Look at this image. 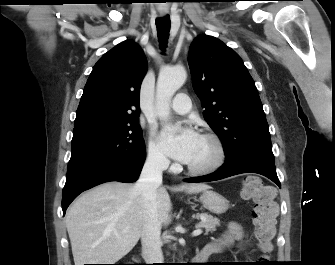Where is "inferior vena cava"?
<instances>
[{"label":"inferior vena cava","mask_w":335,"mask_h":265,"mask_svg":"<svg viewBox=\"0 0 335 265\" xmlns=\"http://www.w3.org/2000/svg\"><path fill=\"white\" fill-rule=\"evenodd\" d=\"M169 165L159 153L150 154L134 190L142 195L144 224L141 234L142 254L148 264L163 263L161 223L157 214V189L162 184V172Z\"/></svg>","instance_id":"inferior-vena-cava-1"}]
</instances>
